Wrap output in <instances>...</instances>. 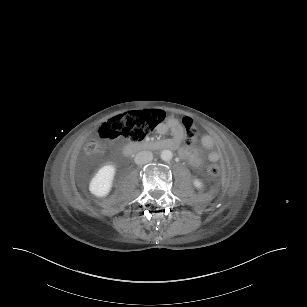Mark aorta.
I'll list each match as a JSON object with an SVG mask.
<instances>
[{
    "label": "aorta",
    "mask_w": 307,
    "mask_h": 307,
    "mask_svg": "<svg viewBox=\"0 0 307 307\" xmlns=\"http://www.w3.org/2000/svg\"><path fill=\"white\" fill-rule=\"evenodd\" d=\"M161 159L163 160V161H165V162H168V161H171L172 160V158H173V153H172V151L171 150H168V149H166V150H163L162 152H161Z\"/></svg>",
    "instance_id": "obj_1"
}]
</instances>
